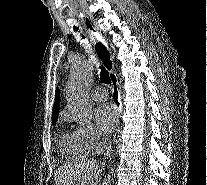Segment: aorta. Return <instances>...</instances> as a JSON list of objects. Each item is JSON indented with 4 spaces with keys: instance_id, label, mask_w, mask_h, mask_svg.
<instances>
[{
    "instance_id": "obj_1",
    "label": "aorta",
    "mask_w": 207,
    "mask_h": 185,
    "mask_svg": "<svg viewBox=\"0 0 207 185\" xmlns=\"http://www.w3.org/2000/svg\"><path fill=\"white\" fill-rule=\"evenodd\" d=\"M93 70L94 64L89 60L74 63L66 86L68 108L81 125L90 123L92 119V105L88 92Z\"/></svg>"
}]
</instances>
